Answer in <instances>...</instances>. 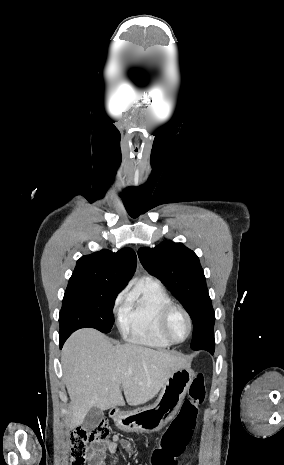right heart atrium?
Returning a JSON list of instances; mask_svg holds the SVG:
<instances>
[{
    "label": "right heart atrium",
    "instance_id": "right-heart-atrium-1",
    "mask_svg": "<svg viewBox=\"0 0 284 465\" xmlns=\"http://www.w3.org/2000/svg\"><path fill=\"white\" fill-rule=\"evenodd\" d=\"M132 294L127 290H122L113 301V309L118 311L130 298Z\"/></svg>",
    "mask_w": 284,
    "mask_h": 465
}]
</instances>
